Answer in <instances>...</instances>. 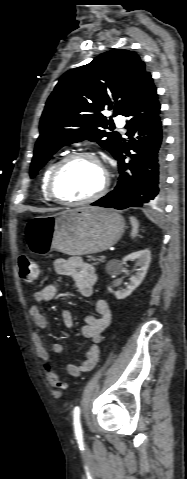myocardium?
Returning <instances> with one entry per match:
<instances>
[{
    "instance_id": "1",
    "label": "myocardium",
    "mask_w": 187,
    "mask_h": 479,
    "mask_svg": "<svg viewBox=\"0 0 187 479\" xmlns=\"http://www.w3.org/2000/svg\"><path fill=\"white\" fill-rule=\"evenodd\" d=\"M82 158H88L92 159L95 162H97L104 170V181L101 185V187L91 196L83 199H66L61 197L57 191H56V180L59 175V173L63 170V168L69 164L70 162L77 160V159H82ZM110 186V175L105 166L103 165L102 161L99 159V157L94 154L93 152L89 151H77L73 152L65 157H63L60 161L56 163V165L53 167L49 178L47 182V193L49 197L60 204L64 205H70V206H76V205H85V204H90L93 203L100 198H102L106 192L108 191V188Z\"/></svg>"
}]
</instances>
